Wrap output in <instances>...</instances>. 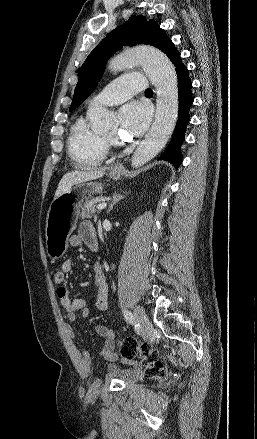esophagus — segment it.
Listing matches in <instances>:
<instances>
[{
  "mask_svg": "<svg viewBox=\"0 0 257 439\" xmlns=\"http://www.w3.org/2000/svg\"><path fill=\"white\" fill-rule=\"evenodd\" d=\"M112 169H113V170H122V169H123V166H122L121 164H115V165L112 167Z\"/></svg>",
  "mask_w": 257,
  "mask_h": 439,
  "instance_id": "esophagus-1",
  "label": "esophagus"
}]
</instances>
